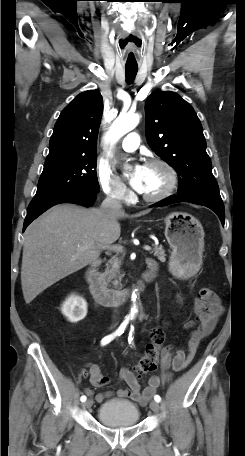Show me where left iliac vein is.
I'll use <instances>...</instances> for the list:
<instances>
[{
  "label": "left iliac vein",
  "instance_id": "left-iliac-vein-1",
  "mask_svg": "<svg viewBox=\"0 0 245 456\" xmlns=\"http://www.w3.org/2000/svg\"><path fill=\"white\" fill-rule=\"evenodd\" d=\"M150 408H151V410H152L153 412L158 413L159 410H160V405H159V403L156 402V401H151V402H150Z\"/></svg>",
  "mask_w": 245,
  "mask_h": 456
}]
</instances>
